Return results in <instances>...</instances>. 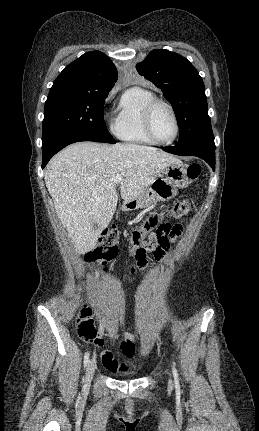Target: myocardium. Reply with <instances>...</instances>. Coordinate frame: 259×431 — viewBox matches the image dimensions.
Here are the masks:
<instances>
[{
	"mask_svg": "<svg viewBox=\"0 0 259 431\" xmlns=\"http://www.w3.org/2000/svg\"><path fill=\"white\" fill-rule=\"evenodd\" d=\"M163 105L166 108H168V110L170 111L173 120H174V124H175V132L173 137L168 140V141H160L158 140L154 133H153V128H152V118H153V114L155 109L160 106ZM143 124H144V129L145 132L147 134V136L149 137V139L157 145H170L172 144L178 137L179 132H180V124H179V119L176 113L175 108L166 100L160 99V98H154L153 100H151L146 107L144 108L143 111Z\"/></svg>",
	"mask_w": 259,
	"mask_h": 431,
	"instance_id": "1",
	"label": "myocardium"
}]
</instances>
